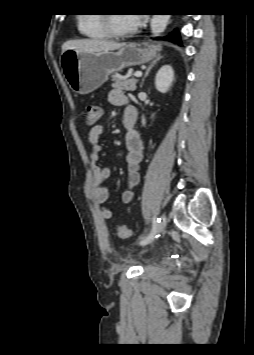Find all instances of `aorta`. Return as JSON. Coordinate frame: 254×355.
Returning a JSON list of instances; mask_svg holds the SVG:
<instances>
[{
  "label": "aorta",
  "mask_w": 254,
  "mask_h": 355,
  "mask_svg": "<svg viewBox=\"0 0 254 355\" xmlns=\"http://www.w3.org/2000/svg\"><path fill=\"white\" fill-rule=\"evenodd\" d=\"M170 15H153L151 20V32L154 36H159L166 29L167 23L169 21Z\"/></svg>",
  "instance_id": "aorta-1"
}]
</instances>
